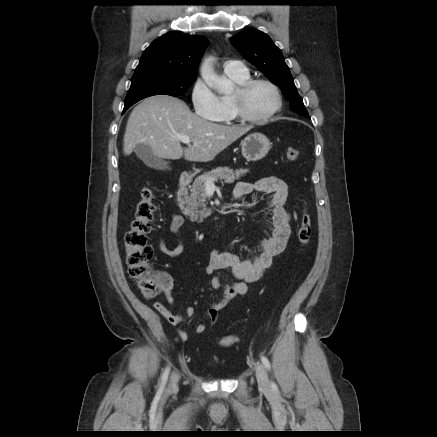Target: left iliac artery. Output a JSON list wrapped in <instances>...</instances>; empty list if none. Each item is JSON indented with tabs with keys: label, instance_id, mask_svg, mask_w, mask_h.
<instances>
[{
	"label": "left iliac artery",
	"instance_id": "left-iliac-artery-1",
	"mask_svg": "<svg viewBox=\"0 0 437 437\" xmlns=\"http://www.w3.org/2000/svg\"><path fill=\"white\" fill-rule=\"evenodd\" d=\"M261 361L263 365L266 367V369L270 370V362L265 356H261ZM276 387H277L276 384L272 382V388L276 389Z\"/></svg>",
	"mask_w": 437,
	"mask_h": 437
}]
</instances>
